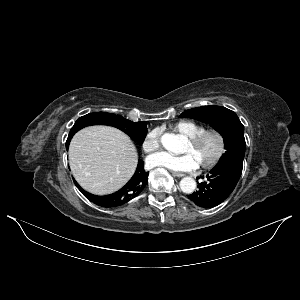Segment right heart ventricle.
Returning <instances> with one entry per match:
<instances>
[{
	"instance_id": "right-heart-ventricle-1",
	"label": "right heart ventricle",
	"mask_w": 300,
	"mask_h": 300,
	"mask_svg": "<svg viewBox=\"0 0 300 300\" xmlns=\"http://www.w3.org/2000/svg\"><path fill=\"white\" fill-rule=\"evenodd\" d=\"M172 128L186 137H191L205 129V126L193 120H180Z\"/></svg>"
}]
</instances>
